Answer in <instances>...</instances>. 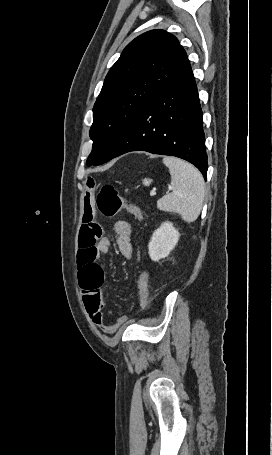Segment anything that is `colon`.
<instances>
[{"label": "colon", "mask_w": 272, "mask_h": 455, "mask_svg": "<svg viewBox=\"0 0 272 455\" xmlns=\"http://www.w3.org/2000/svg\"><path fill=\"white\" fill-rule=\"evenodd\" d=\"M97 207L107 217L116 216L121 210L127 211L134 217H139V209L133 203L125 200L118 191L110 184H104L97 196ZM149 290V274L143 270L140 272L137 283L138 303L145 306Z\"/></svg>", "instance_id": "obj_1"}]
</instances>
